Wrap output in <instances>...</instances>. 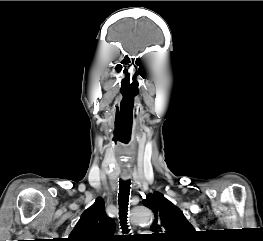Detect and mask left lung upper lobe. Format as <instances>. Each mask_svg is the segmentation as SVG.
<instances>
[{
    "instance_id": "1",
    "label": "left lung upper lobe",
    "mask_w": 263,
    "mask_h": 241,
    "mask_svg": "<svg viewBox=\"0 0 263 241\" xmlns=\"http://www.w3.org/2000/svg\"><path fill=\"white\" fill-rule=\"evenodd\" d=\"M143 204L154 212L155 220L149 235L153 241H193L196 230L187 221L182 211L163 194L148 195Z\"/></svg>"
}]
</instances>
